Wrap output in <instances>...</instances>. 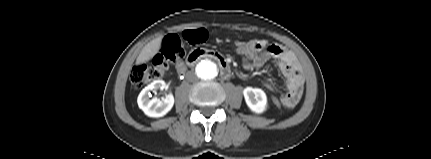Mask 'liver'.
<instances>
[{
    "label": "liver",
    "instance_id": "6515ba94",
    "mask_svg": "<svg viewBox=\"0 0 431 159\" xmlns=\"http://www.w3.org/2000/svg\"><path fill=\"white\" fill-rule=\"evenodd\" d=\"M161 43L162 37H158L146 44L136 59V66L141 65L153 58L159 52Z\"/></svg>",
    "mask_w": 431,
    "mask_h": 159
}]
</instances>
